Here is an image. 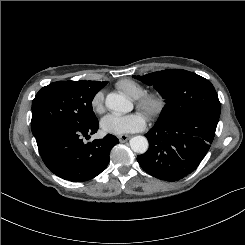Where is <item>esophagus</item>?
I'll return each instance as SVG.
<instances>
[{
	"instance_id": "obj_1",
	"label": "esophagus",
	"mask_w": 245,
	"mask_h": 245,
	"mask_svg": "<svg viewBox=\"0 0 245 245\" xmlns=\"http://www.w3.org/2000/svg\"><path fill=\"white\" fill-rule=\"evenodd\" d=\"M130 137H131L130 135H120V136H118V139L121 143H123V142H126L127 140H129Z\"/></svg>"
}]
</instances>
